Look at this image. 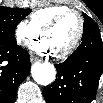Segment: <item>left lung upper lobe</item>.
I'll return each mask as SVG.
<instances>
[{"mask_svg":"<svg viewBox=\"0 0 103 103\" xmlns=\"http://www.w3.org/2000/svg\"><path fill=\"white\" fill-rule=\"evenodd\" d=\"M83 17H84V31L87 29L98 27L96 22L85 13H83Z\"/></svg>","mask_w":103,"mask_h":103,"instance_id":"1","label":"left lung upper lobe"}]
</instances>
